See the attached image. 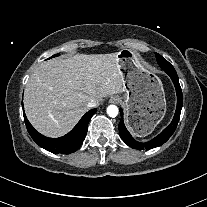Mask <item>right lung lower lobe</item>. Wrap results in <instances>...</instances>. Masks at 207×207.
<instances>
[{"mask_svg":"<svg viewBox=\"0 0 207 207\" xmlns=\"http://www.w3.org/2000/svg\"><path fill=\"white\" fill-rule=\"evenodd\" d=\"M95 112L96 108L88 111L68 134L60 138H48L37 132L29 123L25 113L24 121L36 144L52 153L68 154L75 152L83 143L89 120Z\"/></svg>","mask_w":207,"mask_h":207,"instance_id":"98d812e1","label":"right lung lower lobe"}]
</instances>
